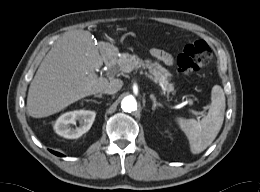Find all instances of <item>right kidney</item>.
<instances>
[{
    "label": "right kidney",
    "instance_id": "obj_1",
    "mask_svg": "<svg viewBox=\"0 0 260 192\" xmlns=\"http://www.w3.org/2000/svg\"><path fill=\"white\" fill-rule=\"evenodd\" d=\"M96 113L89 110H76L62 114L56 121L54 129L57 134L68 139H76L86 133L92 126ZM79 127L73 128L71 125Z\"/></svg>",
    "mask_w": 260,
    "mask_h": 192
}]
</instances>
